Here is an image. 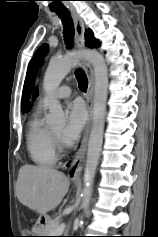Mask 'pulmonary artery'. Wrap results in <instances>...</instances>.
<instances>
[{"label": "pulmonary artery", "mask_w": 158, "mask_h": 237, "mask_svg": "<svg viewBox=\"0 0 158 237\" xmlns=\"http://www.w3.org/2000/svg\"><path fill=\"white\" fill-rule=\"evenodd\" d=\"M72 93L71 87L68 85H62L55 91V96L57 98L63 99L68 98ZM47 103V98L40 100L39 105L44 106Z\"/></svg>", "instance_id": "1"}]
</instances>
